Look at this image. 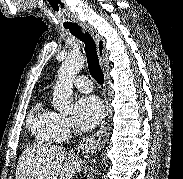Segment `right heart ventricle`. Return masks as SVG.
<instances>
[{
	"instance_id": "1",
	"label": "right heart ventricle",
	"mask_w": 183,
	"mask_h": 179,
	"mask_svg": "<svg viewBox=\"0 0 183 179\" xmlns=\"http://www.w3.org/2000/svg\"><path fill=\"white\" fill-rule=\"evenodd\" d=\"M55 112L47 108L42 101L38 102L32 109L28 119L31 132L41 142L52 141L50 123Z\"/></svg>"
}]
</instances>
